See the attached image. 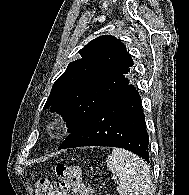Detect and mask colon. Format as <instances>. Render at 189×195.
Segmentation results:
<instances>
[{"label": "colon", "mask_w": 189, "mask_h": 195, "mask_svg": "<svg viewBox=\"0 0 189 195\" xmlns=\"http://www.w3.org/2000/svg\"><path fill=\"white\" fill-rule=\"evenodd\" d=\"M56 176L58 182L55 184L45 178L38 180V195H83L84 185L80 168L60 163L56 167Z\"/></svg>", "instance_id": "colon-1"}]
</instances>
